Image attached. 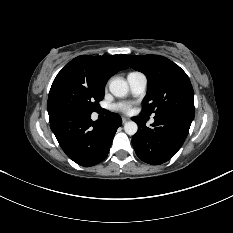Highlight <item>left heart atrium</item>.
I'll return each instance as SVG.
<instances>
[{
    "label": "left heart atrium",
    "instance_id": "left-heart-atrium-1",
    "mask_svg": "<svg viewBox=\"0 0 233 233\" xmlns=\"http://www.w3.org/2000/svg\"><path fill=\"white\" fill-rule=\"evenodd\" d=\"M114 109L123 113H129L132 107L128 103H118L114 106Z\"/></svg>",
    "mask_w": 233,
    "mask_h": 233
}]
</instances>
